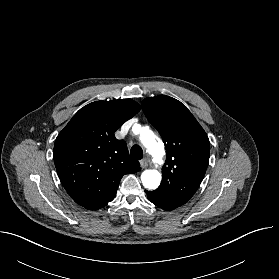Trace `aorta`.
<instances>
[{
    "label": "aorta",
    "instance_id": "1",
    "mask_svg": "<svg viewBox=\"0 0 279 279\" xmlns=\"http://www.w3.org/2000/svg\"><path fill=\"white\" fill-rule=\"evenodd\" d=\"M141 142L148 149V152L154 156L155 159L162 157L164 149L156 142L155 136L150 130H142ZM143 186L148 189H156L161 182V173L158 170H145L141 175Z\"/></svg>",
    "mask_w": 279,
    "mask_h": 279
}]
</instances>
